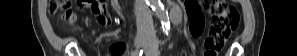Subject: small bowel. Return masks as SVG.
Returning a JSON list of instances; mask_svg holds the SVG:
<instances>
[{
	"mask_svg": "<svg viewBox=\"0 0 297 56\" xmlns=\"http://www.w3.org/2000/svg\"><path fill=\"white\" fill-rule=\"evenodd\" d=\"M186 11L189 16V31L192 36L199 37L204 29V19L198 2L189 0L186 3ZM124 47L116 45L112 47V51H121Z\"/></svg>",
	"mask_w": 297,
	"mask_h": 56,
	"instance_id": "obj_1",
	"label": "small bowel"
}]
</instances>
